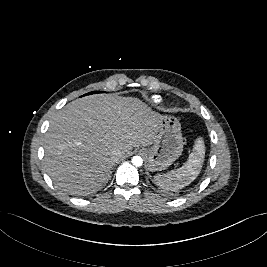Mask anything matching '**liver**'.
Returning <instances> with one entry per match:
<instances>
[{"instance_id": "6515ba94", "label": "liver", "mask_w": 267, "mask_h": 267, "mask_svg": "<svg viewBox=\"0 0 267 267\" xmlns=\"http://www.w3.org/2000/svg\"><path fill=\"white\" fill-rule=\"evenodd\" d=\"M158 124L159 114L137 98L100 94L74 100L50 122L45 169L62 191L89 195L107 183L132 147L153 143ZM114 150L121 151L120 158H112Z\"/></svg>"}]
</instances>
